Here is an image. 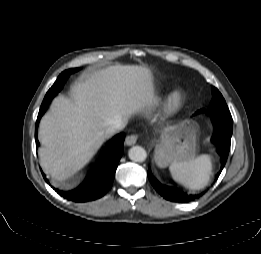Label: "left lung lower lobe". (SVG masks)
<instances>
[{
	"instance_id": "1",
	"label": "left lung lower lobe",
	"mask_w": 261,
	"mask_h": 254,
	"mask_svg": "<svg viewBox=\"0 0 261 254\" xmlns=\"http://www.w3.org/2000/svg\"><path fill=\"white\" fill-rule=\"evenodd\" d=\"M211 120L214 128L211 142L216 146V151L220 156L222 170L226 164L230 150L231 136L233 131V120L232 118H221L215 116H211ZM221 170L216 176V179L221 173ZM148 178L155 190L169 201L186 203L195 200L204 193L202 192L200 194H188L177 188L164 186L152 175L150 169L148 170Z\"/></svg>"
}]
</instances>
